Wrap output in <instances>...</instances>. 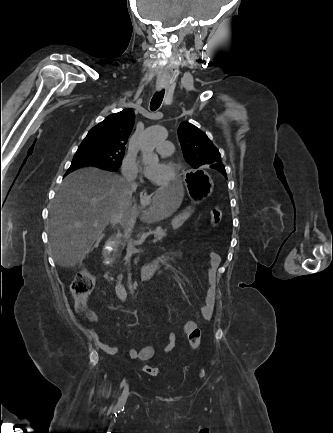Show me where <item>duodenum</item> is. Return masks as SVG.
Masks as SVG:
<instances>
[{"mask_svg":"<svg viewBox=\"0 0 333 433\" xmlns=\"http://www.w3.org/2000/svg\"><path fill=\"white\" fill-rule=\"evenodd\" d=\"M166 260L167 257H160L155 261L142 266L139 272L140 279L144 281L150 279L155 274V272L160 268L162 263Z\"/></svg>","mask_w":333,"mask_h":433,"instance_id":"1","label":"duodenum"}]
</instances>
